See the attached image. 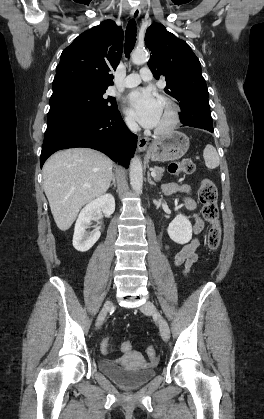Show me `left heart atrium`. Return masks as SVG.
<instances>
[{
	"label": "left heart atrium",
	"instance_id": "1",
	"mask_svg": "<svg viewBox=\"0 0 264 419\" xmlns=\"http://www.w3.org/2000/svg\"><path fill=\"white\" fill-rule=\"evenodd\" d=\"M131 115L144 127L157 126L160 117V100L149 89L138 88L127 97Z\"/></svg>",
	"mask_w": 264,
	"mask_h": 419
}]
</instances>
